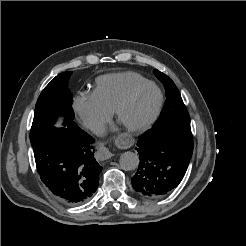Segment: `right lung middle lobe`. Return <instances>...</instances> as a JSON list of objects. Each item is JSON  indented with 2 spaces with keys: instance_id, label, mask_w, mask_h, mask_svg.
I'll return each mask as SVG.
<instances>
[{
  "instance_id": "right-lung-middle-lobe-1",
  "label": "right lung middle lobe",
  "mask_w": 246,
  "mask_h": 246,
  "mask_svg": "<svg viewBox=\"0 0 246 246\" xmlns=\"http://www.w3.org/2000/svg\"><path fill=\"white\" fill-rule=\"evenodd\" d=\"M71 71L57 75L41 92L34 111V119L30 131V141L40 137L48 130L54 128L59 115L65 118V125L74 119L72 94L68 90V80Z\"/></svg>"
}]
</instances>
